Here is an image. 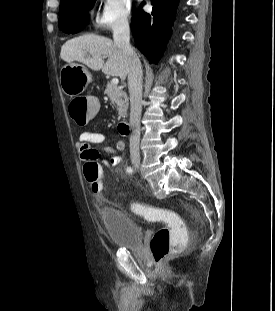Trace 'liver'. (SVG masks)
<instances>
[{
    "instance_id": "6515ba94",
    "label": "liver",
    "mask_w": 275,
    "mask_h": 311,
    "mask_svg": "<svg viewBox=\"0 0 275 311\" xmlns=\"http://www.w3.org/2000/svg\"><path fill=\"white\" fill-rule=\"evenodd\" d=\"M60 57L71 63L78 61L94 71L125 80L128 74V58L109 38L86 34L70 39L61 47ZM108 58L105 62L104 58Z\"/></svg>"
}]
</instances>
